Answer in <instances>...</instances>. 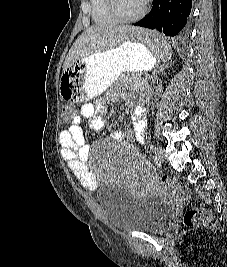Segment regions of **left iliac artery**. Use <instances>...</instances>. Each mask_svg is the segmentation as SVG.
Returning a JSON list of instances; mask_svg holds the SVG:
<instances>
[{
	"instance_id": "left-iliac-artery-1",
	"label": "left iliac artery",
	"mask_w": 227,
	"mask_h": 267,
	"mask_svg": "<svg viewBox=\"0 0 227 267\" xmlns=\"http://www.w3.org/2000/svg\"><path fill=\"white\" fill-rule=\"evenodd\" d=\"M151 150H155V146L153 144H151Z\"/></svg>"
}]
</instances>
